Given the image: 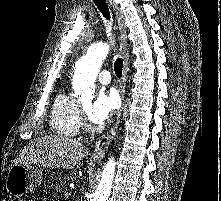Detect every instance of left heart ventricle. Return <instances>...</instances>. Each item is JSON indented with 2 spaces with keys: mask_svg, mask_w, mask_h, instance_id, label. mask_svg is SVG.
Masks as SVG:
<instances>
[{
  "mask_svg": "<svg viewBox=\"0 0 221 201\" xmlns=\"http://www.w3.org/2000/svg\"><path fill=\"white\" fill-rule=\"evenodd\" d=\"M90 107H91V105H90L89 103L85 105V109H86L88 115H89ZM89 117H90V116H89ZM90 119H91V118H90ZM91 121H92V120H91ZM92 122H93V121H92ZM94 123H95V122H94Z\"/></svg>",
  "mask_w": 221,
  "mask_h": 201,
  "instance_id": "left-heart-ventricle-1",
  "label": "left heart ventricle"
}]
</instances>
